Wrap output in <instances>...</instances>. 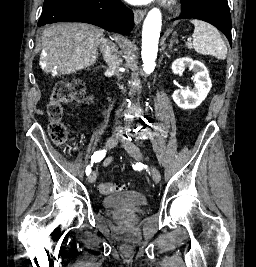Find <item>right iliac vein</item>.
<instances>
[{
	"instance_id": "right-iliac-vein-1",
	"label": "right iliac vein",
	"mask_w": 256,
	"mask_h": 267,
	"mask_svg": "<svg viewBox=\"0 0 256 267\" xmlns=\"http://www.w3.org/2000/svg\"><path fill=\"white\" fill-rule=\"evenodd\" d=\"M118 140V134L114 133L112 134L106 141L105 143V149H110L112 147H114V145L117 143ZM96 173L93 171L92 173H90L89 177H88V181L89 183H94L96 181Z\"/></svg>"
}]
</instances>
